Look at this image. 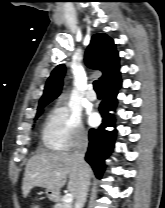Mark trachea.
I'll use <instances>...</instances> for the list:
<instances>
[{"label":"trachea","instance_id":"obj_1","mask_svg":"<svg viewBox=\"0 0 165 208\" xmlns=\"http://www.w3.org/2000/svg\"><path fill=\"white\" fill-rule=\"evenodd\" d=\"M93 85L96 92H102L101 84L99 80H95Z\"/></svg>","mask_w":165,"mask_h":208}]
</instances>
